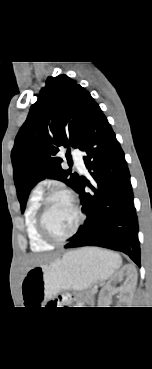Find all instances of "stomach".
Wrapping results in <instances>:
<instances>
[{
	"instance_id": "1",
	"label": "stomach",
	"mask_w": 152,
	"mask_h": 369,
	"mask_svg": "<svg viewBox=\"0 0 152 369\" xmlns=\"http://www.w3.org/2000/svg\"><path fill=\"white\" fill-rule=\"evenodd\" d=\"M120 256L99 248L67 252L48 264L30 268L21 284L26 304H38L63 290H85L109 278L120 266Z\"/></svg>"
}]
</instances>
